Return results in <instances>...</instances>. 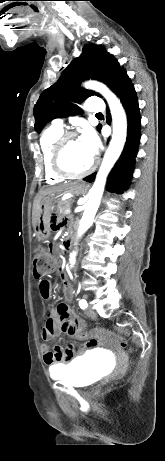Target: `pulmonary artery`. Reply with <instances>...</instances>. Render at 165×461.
<instances>
[{
	"mask_svg": "<svg viewBox=\"0 0 165 461\" xmlns=\"http://www.w3.org/2000/svg\"><path fill=\"white\" fill-rule=\"evenodd\" d=\"M85 108L92 113H100L104 110V104L99 97H90L87 99ZM53 125L58 128H63V120L57 118L53 121Z\"/></svg>",
	"mask_w": 165,
	"mask_h": 461,
	"instance_id": "pulmonary-artery-1",
	"label": "pulmonary artery"
}]
</instances>
